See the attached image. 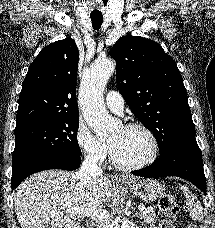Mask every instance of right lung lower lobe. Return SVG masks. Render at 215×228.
I'll list each match as a JSON object with an SVG mask.
<instances>
[{"instance_id":"1","label":"right lung lower lobe","mask_w":215,"mask_h":228,"mask_svg":"<svg viewBox=\"0 0 215 228\" xmlns=\"http://www.w3.org/2000/svg\"><path fill=\"white\" fill-rule=\"evenodd\" d=\"M13 163L12 190L28 176L48 169L75 170L81 163L80 156L66 155L58 152H40L16 160Z\"/></svg>"}]
</instances>
